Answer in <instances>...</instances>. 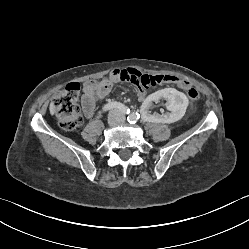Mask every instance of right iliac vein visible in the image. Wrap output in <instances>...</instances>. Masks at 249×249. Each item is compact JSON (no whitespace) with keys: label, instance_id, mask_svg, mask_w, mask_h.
<instances>
[{"label":"right iliac vein","instance_id":"63e3f726","mask_svg":"<svg viewBox=\"0 0 249 249\" xmlns=\"http://www.w3.org/2000/svg\"><path fill=\"white\" fill-rule=\"evenodd\" d=\"M120 120V114L118 111H112L107 119V122L110 126H114Z\"/></svg>","mask_w":249,"mask_h":249}]
</instances>
